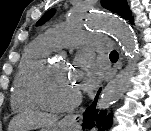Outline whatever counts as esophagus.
I'll return each mask as SVG.
<instances>
[{
    "mask_svg": "<svg viewBox=\"0 0 151 131\" xmlns=\"http://www.w3.org/2000/svg\"><path fill=\"white\" fill-rule=\"evenodd\" d=\"M120 56H122V52H121ZM120 59H122V58H120ZM120 66H121V61L118 64L117 68H119ZM69 120H71L75 124H81L82 123V116L80 114H74V115L69 117Z\"/></svg>",
    "mask_w": 151,
    "mask_h": 131,
    "instance_id": "1",
    "label": "esophagus"
}]
</instances>
